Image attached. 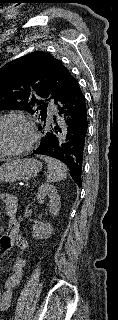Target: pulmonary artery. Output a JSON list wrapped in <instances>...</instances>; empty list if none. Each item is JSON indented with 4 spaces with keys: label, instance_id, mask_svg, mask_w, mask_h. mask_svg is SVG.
Instances as JSON below:
<instances>
[{
    "label": "pulmonary artery",
    "instance_id": "pulmonary-artery-1",
    "mask_svg": "<svg viewBox=\"0 0 118 320\" xmlns=\"http://www.w3.org/2000/svg\"><path fill=\"white\" fill-rule=\"evenodd\" d=\"M48 108H49L50 113H54L55 112V108H54L53 105H49Z\"/></svg>",
    "mask_w": 118,
    "mask_h": 320
}]
</instances>
